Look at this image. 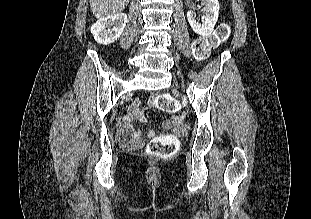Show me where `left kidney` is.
I'll use <instances>...</instances> for the list:
<instances>
[{
	"label": "left kidney",
	"instance_id": "1",
	"mask_svg": "<svg viewBox=\"0 0 311 219\" xmlns=\"http://www.w3.org/2000/svg\"><path fill=\"white\" fill-rule=\"evenodd\" d=\"M203 4L204 16L201 22L193 12H187V19L193 31L200 36H208L212 33L219 15L218 0H201Z\"/></svg>",
	"mask_w": 311,
	"mask_h": 219
}]
</instances>
